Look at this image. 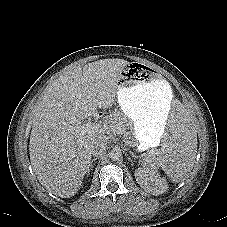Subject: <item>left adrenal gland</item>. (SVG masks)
<instances>
[{"label": "left adrenal gland", "mask_w": 227, "mask_h": 227, "mask_svg": "<svg viewBox=\"0 0 227 227\" xmlns=\"http://www.w3.org/2000/svg\"><path fill=\"white\" fill-rule=\"evenodd\" d=\"M130 155L132 158L137 159V156L133 152H130Z\"/></svg>", "instance_id": "left-adrenal-gland-1"}]
</instances>
